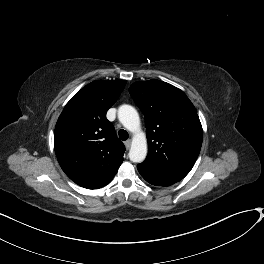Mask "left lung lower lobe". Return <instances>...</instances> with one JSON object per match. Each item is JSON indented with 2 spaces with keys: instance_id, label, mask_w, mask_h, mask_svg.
I'll return each mask as SVG.
<instances>
[{
  "instance_id": "left-lung-lower-lobe-1",
  "label": "left lung lower lobe",
  "mask_w": 264,
  "mask_h": 264,
  "mask_svg": "<svg viewBox=\"0 0 264 264\" xmlns=\"http://www.w3.org/2000/svg\"><path fill=\"white\" fill-rule=\"evenodd\" d=\"M139 173L141 174V176L150 184L152 185H156V186H170L174 183H176V181H172V180H167V179H163L157 176H154L152 174H150L149 172L137 167Z\"/></svg>"
}]
</instances>
